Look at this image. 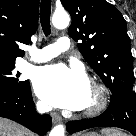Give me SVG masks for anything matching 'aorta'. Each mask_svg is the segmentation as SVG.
I'll return each mask as SVG.
<instances>
[{
    "instance_id": "obj_1",
    "label": "aorta",
    "mask_w": 136,
    "mask_h": 136,
    "mask_svg": "<svg viewBox=\"0 0 136 136\" xmlns=\"http://www.w3.org/2000/svg\"><path fill=\"white\" fill-rule=\"evenodd\" d=\"M70 17L65 11H56L52 16V24L55 28L63 29L69 25ZM49 136H65V128L62 124L55 126Z\"/></svg>"
}]
</instances>
